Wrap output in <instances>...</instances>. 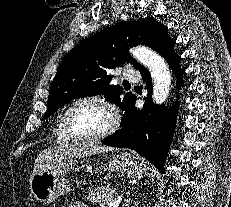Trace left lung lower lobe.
I'll list each match as a JSON object with an SVG mask.
<instances>
[{
    "label": "left lung lower lobe",
    "instance_id": "left-lung-lower-lobe-1",
    "mask_svg": "<svg viewBox=\"0 0 231 207\" xmlns=\"http://www.w3.org/2000/svg\"><path fill=\"white\" fill-rule=\"evenodd\" d=\"M172 42L161 55L167 60L177 76L180 85L182 70L178 65L179 57L173 52ZM146 89L149 91L144 98L142 109L135 107L136 97L130 103L122 119V128L102 141L103 144L115 147L130 148L150 161L160 172L164 173V164L172 141L175 128L177 105L169 109L152 103V83L148 70H141Z\"/></svg>",
    "mask_w": 231,
    "mask_h": 207
}]
</instances>
